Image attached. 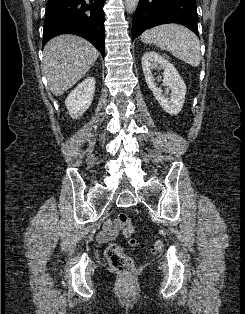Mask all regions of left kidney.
<instances>
[{"instance_id": "obj_1", "label": "left kidney", "mask_w": 245, "mask_h": 314, "mask_svg": "<svg viewBox=\"0 0 245 314\" xmlns=\"http://www.w3.org/2000/svg\"><path fill=\"white\" fill-rule=\"evenodd\" d=\"M141 64L146 83L160 106L170 115L180 113L187 88L175 67L165 57L154 51L145 52ZM156 68L164 70L162 85L167 87L164 94L161 87H158L155 83V78L152 74V70ZM157 80L159 81L160 79L158 78Z\"/></svg>"}]
</instances>
